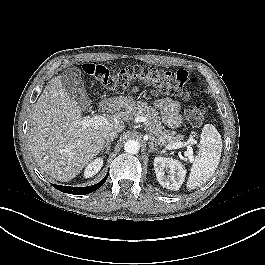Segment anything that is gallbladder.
<instances>
[{"label":"gallbladder","instance_id":"bac80fb5","mask_svg":"<svg viewBox=\"0 0 265 265\" xmlns=\"http://www.w3.org/2000/svg\"><path fill=\"white\" fill-rule=\"evenodd\" d=\"M62 85L69 96L76 100L80 106H91V100L86 92L84 82L81 79V71L74 67L65 71L61 77Z\"/></svg>","mask_w":265,"mask_h":265}]
</instances>
